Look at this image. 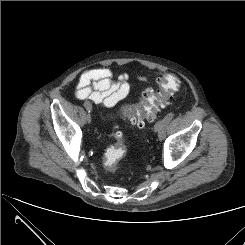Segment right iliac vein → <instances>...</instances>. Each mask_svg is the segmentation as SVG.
<instances>
[{"label":"right iliac vein","instance_id":"1","mask_svg":"<svg viewBox=\"0 0 245 245\" xmlns=\"http://www.w3.org/2000/svg\"><path fill=\"white\" fill-rule=\"evenodd\" d=\"M84 106H85L87 111L88 110H90V111L92 110V105H91V103L89 101H85ZM91 119H92L91 114H87L86 115V122L90 123Z\"/></svg>","mask_w":245,"mask_h":245}]
</instances>
